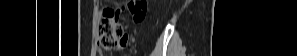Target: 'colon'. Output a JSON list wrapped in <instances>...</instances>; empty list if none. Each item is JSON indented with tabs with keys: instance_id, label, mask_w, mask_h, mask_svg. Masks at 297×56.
<instances>
[{
	"instance_id": "colon-1",
	"label": "colon",
	"mask_w": 297,
	"mask_h": 56,
	"mask_svg": "<svg viewBox=\"0 0 297 56\" xmlns=\"http://www.w3.org/2000/svg\"><path fill=\"white\" fill-rule=\"evenodd\" d=\"M129 11L131 12L135 22L144 20L147 11L146 0H133L129 4ZM123 17V10L107 8L98 22V47L101 50H111L119 46V40L123 32L121 19Z\"/></svg>"
}]
</instances>
